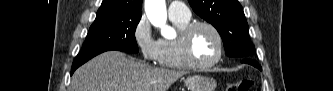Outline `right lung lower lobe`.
<instances>
[{
  "mask_svg": "<svg viewBox=\"0 0 333 91\" xmlns=\"http://www.w3.org/2000/svg\"><path fill=\"white\" fill-rule=\"evenodd\" d=\"M102 52H95V53H88V54H83L80 53L76 56L72 68H71V75L73 74V72L82 64H84L85 62H87L89 59L93 58L94 56L100 54Z\"/></svg>",
  "mask_w": 333,
  "mask_h": 91,
  "instance_id": "obj_1",
  "label": "right lung lower lobe"
}]
</instances>
